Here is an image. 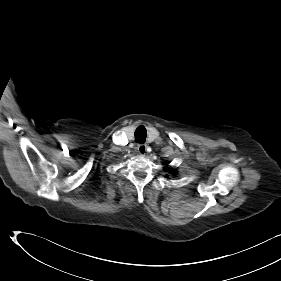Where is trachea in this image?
<instances>
[{"label":"trachea","instance_id":"trachea-1","mask_svg":"<svg viewBox=\"0 0 281 281\" xmlns=\"http://www.w3.org/2000/svg\"><path fill=\"white\" fill-rule=\"evenodd\" d=\"M146 136H147V134H146L145 127L140 126V127H138L136 129V131H135V140L137 142L143 143L145 141V139H146Z\"/></svg>","mask_w":281,"mask_h":281}]
</instances>
